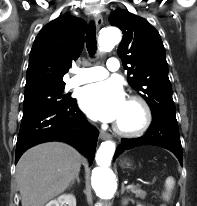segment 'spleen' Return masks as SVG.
<instances>
[{"label":"spleen","mask_w":197,"mask_h":206,"mask_svg":"<svg viewBox=\"0 0 197 206\" xmlns=\"http://www.w3.org/2000/svg\"><path fill=\"white\" fill-rule=\"evenodd\" d=\"M175 186V179L173 177H168L165 181L166 191L162 194V197L165 201H169L171 197L172 190Z\"/></svg>","instance_id":"obj_1"}]
</instances>
